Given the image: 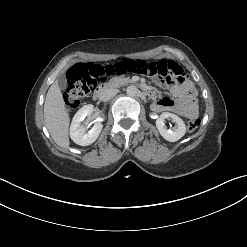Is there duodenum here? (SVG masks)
<instances>
[{
	"label": "duodenum",
	"mask_w": 247,
	"mask_h": 247,
	"mask_svg": "<svg viewBox=\"0 0 247 247\" xmlns=\"http://www.w3.org/2000/svg\"><path fill=\"white\" fill-rule=\"evenodd\" d=\"M123 83H125V81H122V80H113L111 82L104 83L95 89V91L93 92V98L95 100H102L104 95L107 93V91L110 88L123 84ZM127 83L130 85H137V82L134 80L128 81ZM140 89L145 95H148V96L152 95V91L148 87L140 86Z\"/></svg>",
	"instance_id": "obj_1"
}]
</instances>
